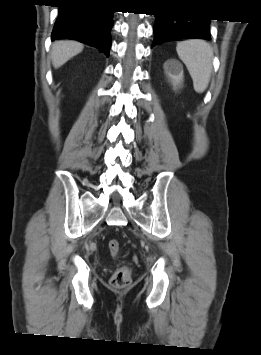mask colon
Instances as JSON below:
<instances>
[{"mask_svg":"<svg viewBox=\"0 0 261 355\" xmlns=\"http://www.w3.org/2000/svg\"><path fill=\"white\" fill-rule=\"evenodd\" d=\"M108 249L112 256H117L120 250L118 240L112 239L108 242ZM112 287L116 289H123L131 283V268L129 266H122L117 269L110 279Z\"/></svg>","mask_w":261,"mask_h":355,"instance_id":"obj_1","label":"colon"}]
</instances>
